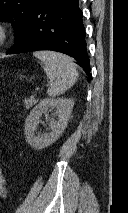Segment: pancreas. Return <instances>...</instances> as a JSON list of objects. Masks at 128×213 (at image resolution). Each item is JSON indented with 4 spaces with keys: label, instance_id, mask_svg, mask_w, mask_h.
<instances>
[{
    "label": "pancreas",
    "instance_id": "cf45deb5",
    "mask_svg": "<svg viewBox=\"0 0 128 213\" xmlns=\"http://www.w3.org/2000/svg\"><path fill=\"white\" fill-rule=\"evenodd\" d=\"M37 102H38V100L35 99L34 96H31L30 98H27V99L24 100V104H25L26 109L31 108Z\"/></svg>",
    "mask_w": 128,
    "mask_h": 213
}]
</instances>
